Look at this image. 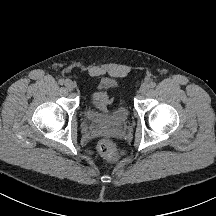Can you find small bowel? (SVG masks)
I'll return each mask as SVG.
<instances>
[{
	"label": "small bowel",
	"mask_w": 216,
	"mask_h": 216,
	"mask_svg": "<svg viewBox=\"0 0 216 216\" xmlns=\"http://www.w3.org/2000/svg\"><path fill=\"white\" fill-rule=\"evenodd\" d=\"M95 103L101 110H105L107 105L110 103V97L106 91H99L95 94Z\"/></svg>",
	"instance_id": "c3829d8e"
}]
</instances>
